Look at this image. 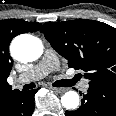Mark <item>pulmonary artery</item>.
<instances>
[{"label":"pulmonary artery","mask_w":116,"mask_h":116,"mask_svg":"<svg viewBox=\"0 0 116 116\" xmlns=\"http://www.w3.org/2000/svg\"><path fill=\"white\" fill-rule=\"evenodd\" d=\"M60 67L59 61L55 53L51 49H47L44 53L42 60L29 69L27 72L20 74L16 78L18 84L25 83L27 81L39 80L52 71L58 70ZM80 88L84 92L89 90V80L83 79L80 83Z\"/></svg>","instance_id":"1"}]
</instances>
